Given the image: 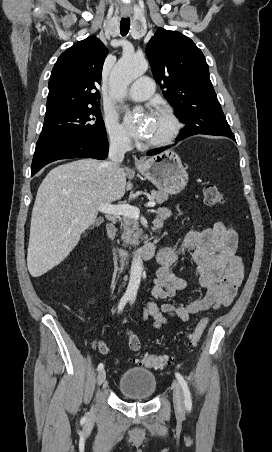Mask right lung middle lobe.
<instances>
[{
    "mask_svg": "<svg viewBox=\"0 0 272 452\" xmlns=\"http://www.w3.org/2000/svg\"><path fill=\"white\" fill-rule=\"evenodd\" d=\"M106 137L100 104L60 110L45 115L39 140ZM38 140V141H39Z\"/></svg>",
    "mask_w": 272,
    "mask_h": 452,
    "instance_id": "1",
    "label": "right lung middle lobe"
}]
</instances>
